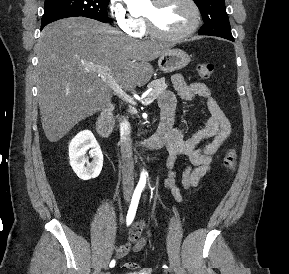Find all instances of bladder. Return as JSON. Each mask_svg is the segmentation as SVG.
<instances>
[{
	"label": "bladder",
	"mask_w": 289,
	"mask_h": 274,
	"mask_svg": "<svg viewBox=\"0 0 289 274\" xmlns=\"http://www.w3.org/2000/svg\"><path fill=\"white\" fill-rule=\"evenodd\" d=\"M125 274H143V273H139V272H128V273H125Z\"/></svg>",
	"instance_id": "obj_1"
}]
</instances>
